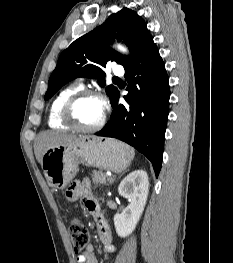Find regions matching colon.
Segmentation results:
<instances>
[{"label":"colon","mask_w":233,"mask_h":263,"mask_svg":"<svg viewBox=\"0 0 233 263\" xmlns=\"http://www.w3.org/2000/svg\"><path fill=\"white\" fill-rule=\"evenodd\" d=\"M74 251L78 254L83 252L89 245V234L86 226L78 221L71 220L68 226Z\"/></svg>","instance_id":"obj_1"}]
</instances>
